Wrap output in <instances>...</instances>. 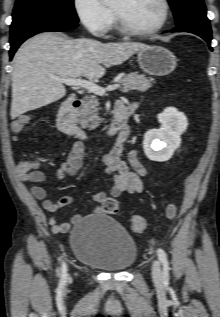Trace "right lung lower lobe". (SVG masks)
Wrapping results in <instances>:
<instances>
[{"instance_id":"obj_1","label":"right lung lower lobe","mask_w":220,"mask_h":317,"mask_svg":"<svg viewBox=\"0 0 220 317\" xmlns=\"http://www.w3.org/2000/svg\"><path fill=\"white\" fill-rule=\"evenodd\" d=\"M77 23L56 17H42L22 22L10 30V59L17 48L29 37L45 31H66L74 29Z\"/></svg>"}]
</instances>
